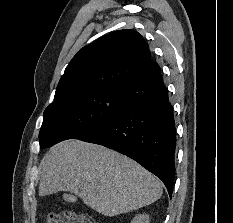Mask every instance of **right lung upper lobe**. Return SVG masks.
<instances>
[{"label": "right lung upper lobe", "mask_w": 233, "mask_h": 223, "mask_svg": "<svg viewBox=\"0 0 233 223\" xmlns=\"http://www.w3.org/2000/svg\"><path fill=\"white\" fill-rule=\"evenodd\" d=\"M161 72L133 30L114 31L83 47L66 67L54 99L96 88L123 89Z\"/></svg>", "instance_id": "1"}]
</instances>
